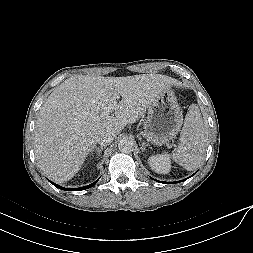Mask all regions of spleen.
Wrapping results in <instances>:
<instances>
[{
	"mask_svg": "<svg viewBox=\"0 0 253 253\" xmlns=\"http://www.w3.org/2000/svg\"><path fill=\"white\" fill-rule=\"evenodd\" d=\"M206 148L205 124L198 105L192 104L185 117L179 144L172 153V159L186 170L192 171L202 164Z\"/></svg>",
	"mask_w": 253,
	"mask_h": 253,
	"instance_id": "obj_1",
	"label": "spleen"
}]
</instances>
